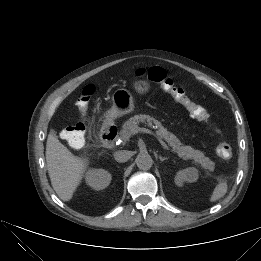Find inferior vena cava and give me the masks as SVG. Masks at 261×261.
Returning a JSON list of instances; mask_svg holds the SVG:
<instances>
[{"label": "inferior vena cava", "mask_w": 261, "mask_h": 261, "mask_svg": "<svg viewBox=\"0 0 261 261\" xmlns=\"http://www.w3.org/2000/svg\"><path fill=\"white\" fill-rule=\"evenodd\" d=\"M132 153L127 150H121L114 153V158L117 162L123 163L130 159Z\"/></svg>", "instance_id": "602c4592"}]
</instances>
